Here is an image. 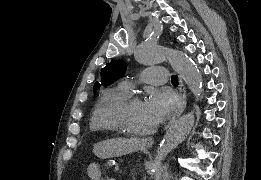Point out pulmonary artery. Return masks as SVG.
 Wrapping results in <instances>:
<instances>
[{
  "label": "pulmonary artery",
  "mask_w": 261,
  "mask_h": 180,
  "mask_svg": "<svg viewBox=\"0 0 261 180\" xmlns=\"http://www.w3.org/2000/svg\"><path fill=\"white\" fill-rule=\"evenodd\" d=\"M168 67H159V69H144L140 74L139 78L142 81L155 82V83H165V78L167 77ZM124 89H129L132 87V81H123L121 83Z\"/></svg>",
  "instance_id": "e3ab8cb5"
}]
</instances>
